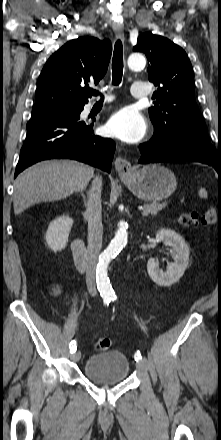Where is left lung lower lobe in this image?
Masks as SVG:
<instances>
[{"mask_svg": "<svg viewBox=\"0 0 221 440\" xmlns=\"http://www.w3.org/2000/svg\"><path fill=\"white\" fill-rule=\"evenodd\" d=\"M139 163L194 161L212 166L221 175V152L203 135L189 130L164 135L154 132L150 141L139 146Z\"/></svg>", "mask_w": 221, "mask_h": 440, "instance_id": "obj_1", "label": "left lung lower lobe"}]
</instances>
